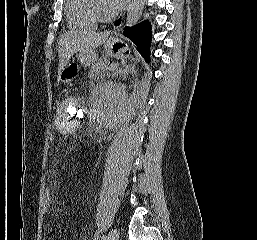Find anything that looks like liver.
<instances>
[{"label":"liver","mask_w":257,"mask_h":240,"mask_svg":"<svg viewBox=\"0 0 257 240\" xmlns=\"http://www.w3.org/2000/svg\"><path fill=\"white\" fill-rule=\"evenodd\" d=\"M108 35V32H96L93 29L64 33L59 39L58 73L61 74L64 67L75 53L95 50L105 42Z\"/></svg>","instance_id":"6515ba94"}]
</instances>
